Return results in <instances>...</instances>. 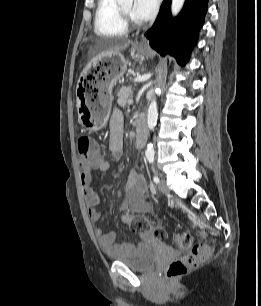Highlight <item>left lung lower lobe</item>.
<instances>
[{"label": "left lung lower lobe", "instance_id": "obj_1", "mask_svg": "<svg viewBox=\"0 0 261 306\" xmlns=\"http://www.w3.org/2000/svg\"><path fill=\"white\" fill-rule=\"evenodd\" d=\"M208 0H186L176 18L171 16V0H164L152 28L146 32L150 46L161 55L169 53L184 65L197 42Z\"/></svg>", "mask_w": 261, "mask_h": 306}]
</instances>
